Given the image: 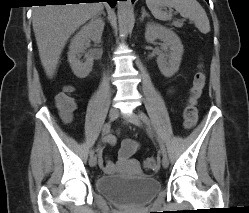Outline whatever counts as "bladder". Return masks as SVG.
<instances>
[{
    "mask_svg": "<svg viewBox=\"0 0 249 213\" xmlns=\"http://www.w3.org/2000/svg\"><path fill=\"white\" fill-rule=\"evenodd\" d=\"M99 193L123 206H140L149 202L159 191L160 182L147 175L126 177L101 176L96 181Z\"/></svg>",
    "mask_w": 249,
    "mask_h": 213,
    "instance_id": "obj_1",
    "label": "bladder"
}]
</instances>
